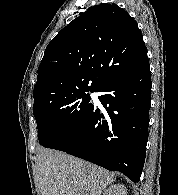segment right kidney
Instances as JSON below:
<instances>
[{"instance_id":"1","label":"right kidney","mask_w":178,"mask_h":195,"mask_svg":"<svg viewBox=\"0 0 178 195\" xmlns=\"http://www.w3.org/2000/svg\"><path fill=\"white\" fill-rule=\"evenodd\" d=\"M103 195H127V190L122 184L111 185Z\"/></svg>"}]
</instances>
